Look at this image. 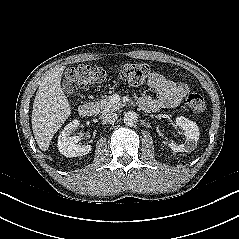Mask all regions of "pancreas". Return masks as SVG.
I'll list each match as a JSON object with an SVG mask.
<instances>
[{
    "label": "pancreas",
    "instance_id": "obj_1",
    "mask_svg": "<svg viewBox=\"0 0 239 239\" xmlns=\"http://www.w3.org/2000/svg\"><path fill=\"white\" fill-rule=\"evenodd\" d=\"M92 105L95 107L97 112H113L121 108V103L113 102L111 97H105L99 102H93Z\"/></svg>",
    "mask_w": 239,
    "mask_h": 239
}]
</instances>
